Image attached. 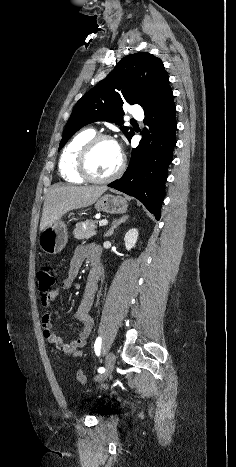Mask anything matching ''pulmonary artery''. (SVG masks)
Masks as SVG:
<instances>
[{"label":"pulmonary artery","instance_id":"1","mask_svg":"<svg viewBox=\"0 0 236 467\" xmlns=\"http://www.w3.org/2000/svg\"><path fill=\"white\" fill-rule=\"evenodd\" d=\"M131 115L136 119H142L144 117L142 107L138 104L134 105L131 111Z\"/></svg>","mask_w":236,"mask_h":467}]
</instances>
